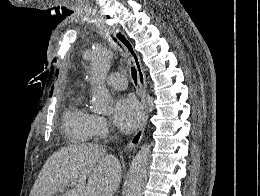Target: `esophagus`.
Returning a JSON list of instances; mask_svg holds the SVG:
<instances>
[{
    "label": "esophagus",
    "mask_w": 260,
    "mask_h": 196,
    "mask_svg": "<svg viewBox=\"0 0 260 196\" xmlns=\"http://www.w3.org/2000/svg\"><path fill=\"white\" fill-rule=\"evenodd\" d=\"M119 34H120L119 41H120L121 45L125 48L127 53L130 55V57L134 63L135 69L137 71L138 84L143 91V94L141 97L142 108H143L142 121H141V124H140L139 128L137 129L136 133L134 134V136H132L128 145L124 148L125 152H130L133 150V148H135L136 146L139 145L141 139L143 138V134H144V131H145V128L147 125V119H148V113H149L148 112V103H147V99H146L147 82H146L144 70L142 68L140 57H139L138 53L136 52L133 44L127 38V36L125 35L124 32L121 31V32H119Z\"/></svg>",
    "instance_id": "obj_1"
}]
</instances>
